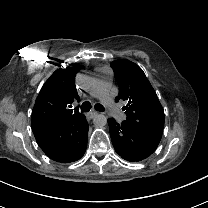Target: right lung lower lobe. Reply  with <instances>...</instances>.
Listing matches in <instances>:
<instances>
[{"instance_id":"98d812e1","label":"right lung lower lobe","mask_w":208,"mask_h":208,"mask_svg":"<svg viewBox=\"0 0 208 208\" xmlns=\"http://www.w3.org/2000/svg\"><path fill=\"white\" fill-rule=\"evenodd\" d=\"M88 128V122L82 115L68 123L34 127L32 131L38 145L50 159L69 163L84 155Z\"/></svg>"}]
</instances>
